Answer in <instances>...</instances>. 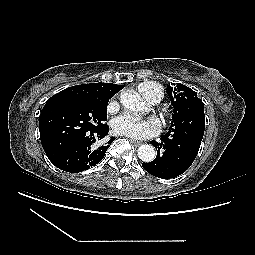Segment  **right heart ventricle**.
Masks as SVG:
<instances>
[{
    "instance_id": "right-heart-ventricle-1",
    "label": "right heart ventricle",
    "mask_w": 255,
    "mask_h": 255,
    "mask_svg": "<svg viewBox=\"0 0 255 255\" xmlns=\"http://www.w3.org/2000/svg\"><path fill=\"white\" fill-rule=\"evenodd\" d=\"M137 91L148 102H152L154 100L159 102L164 97L162 88L158 84L152 82L140 84L137 87Z\"/></svg>"
}]
</instances>
